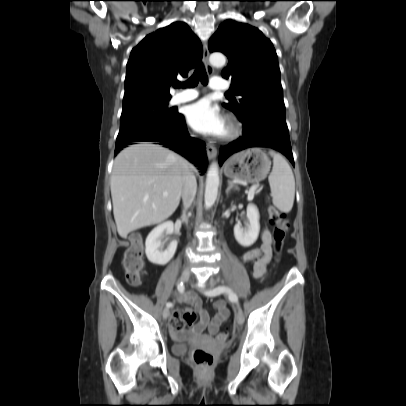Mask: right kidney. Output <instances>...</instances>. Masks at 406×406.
I'll list each match as a JSON object with an SVG mask.
<instances>
[{
  "label": "right kidney",
  "instance_id": "obj_1",
  "mask_svg": "<svg viewBox=\"0 0 406 406\" xmlns=\"http://www.w3.org/2000/svg\"><path fill=\"white\" fill-rule=\"evenodd\" d=\"M173 230V222L167 221L158 225L149 233L145 242V251L147 258L151 263L165 265L173 258L177 249V241H171L167 248L163 250L160 239L164 232L167 234H172Z\"/></svg>",
  "mask_w": 406,
  "mask_h": 406
}]
</instances>
